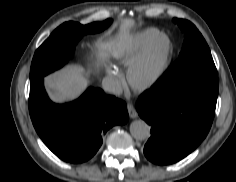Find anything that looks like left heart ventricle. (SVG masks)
<instances>
[{
  "label": "left heart ventricle",
  "mask_w": 236,
  "mask_h": 182,
  "mask_svg": "<svg viewBox=\"0 0 236 182\" xmlns=\"http://www.w3.org/2000/svg\"><path fill=\"white\" fill-rule=\"evenodd\" d=\"M168 48V42L165 39L160 40L154 48V51L148 62L141 68L140 77L149 76L162 62Z\"/></svg>",
  "instance_id": "left-heart-ventricle-1"
}]
</instances>
